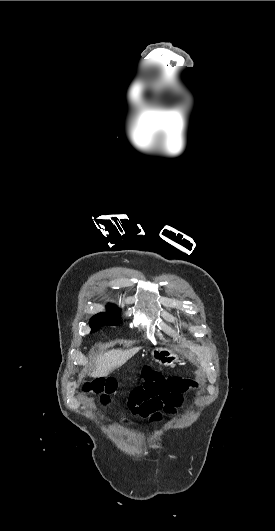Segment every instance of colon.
<instances>
[{
  "label": "colon",
  "instance_id": "1",
  "mask_svg": "<svg viewBox=\"0 0 275 531\" xmlns=\"http://www.w3.org/2000/svg\"><path fill=\"white\" fill-rule=\"evenodd\" d=\"M76 390L81 395H88L93 390V383L88 378H81L76 383Z\"/></svg>",
  "mask_w": 275,
  "mask_h": 531
}]
</instances>
